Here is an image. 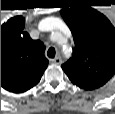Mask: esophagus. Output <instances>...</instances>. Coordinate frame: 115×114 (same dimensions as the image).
Here are the masks:
<instances>
[{
  "mask_svg": "<svg viewBox=\"0 0 115 114\" xmlns=\"http://www.w3.org/2000/svg\"><path fill=\"white\" fill-rule=\"evenodd\" d=\"M52 63L60 65L62 63L61 57L57 56L54 59L51 60Z\"/></svg>",
  "mask_w": 115,
  "mask_h": 114,
  "instance_id": "1",
  "label": "esophagus"
}]
</instances>
